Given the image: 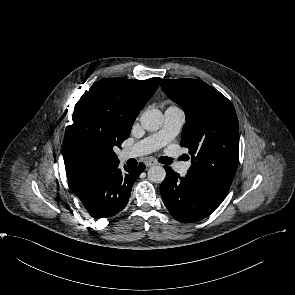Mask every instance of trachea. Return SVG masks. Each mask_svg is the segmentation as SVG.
I'll return each instance as SVG.
<instances>
[{
    "mask_svg": "<svg viewBox=\"0 0 295 295\" xmlns=\"http://www.w3.org/2000/svg\"><path fill=\"white\" fill-rule=\"evenodd\" d=\"M158 161L162 164H171L173 162V159L170 157H160Z\"/></svg>",
    "mask_w": 295,
    "mask_h": 295,
    "instance_id": "1",
    "label": "trachea"
}]
</instances>
